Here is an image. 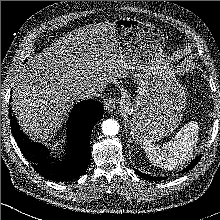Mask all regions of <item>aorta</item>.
<instances>
[{
    "label": "aorta",
    "instance_id": "aorta-1",
    "mask_svg": "<svg viewBox=\"0 0 220 220\" xmlns=\"http://www.w3.org/2000/svg\"><path fill=\"white\" fill-rule=\"evenodd\" d=\"M102 131L105 135L114 136L119 132V123L114 119H107L102 123Z\"/></svg>",
    "mask_w": 220,
    "mask_h": 220
}]
</instances>
